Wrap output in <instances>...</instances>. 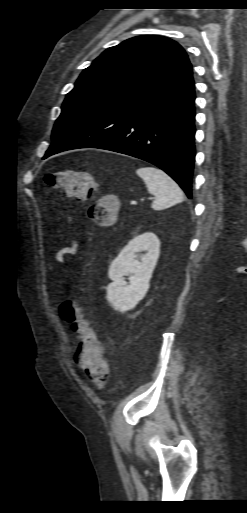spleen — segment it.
Here are the masks:
<instances>
[{"label":"spleen","instance_id":"1","mask_svg":"<svg viewBox=\"0 0 247 513\" xmlns=\"http://www.w3.org/2000/svg\"><path fill=\"white\" fill-rule=\"evenodd\" d=\"M136 174L144 180L148 192L154 195V210H163L184 200L183 192L177 183L164 171L145 166L138 168Z\"/></svg>","mask_w":247,"mask_h":513}]
</instances>
